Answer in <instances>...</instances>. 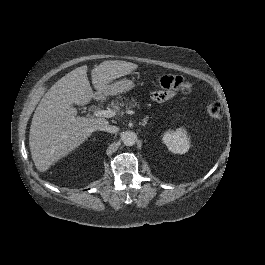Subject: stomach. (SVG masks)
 Returning a JSON list of instances; mask_svg holds the SVG:
<instances>
[{"mask_svg": "<svg viewBox=\"0 0 265 265\" xmlns=\"http://www.w3.org/2000/svg\"><path fill=\"white\" fill-rule=\"evenodd\" d=\"M133 87V82L130 80L122 79L110 84H107L105 91L102 92L106 96H113L122 92L128 91Z\"/></svg>", "mask_w": 265, "mask_h": 265, "instance_id": "1", "label": "stomach"}]
</instances>
